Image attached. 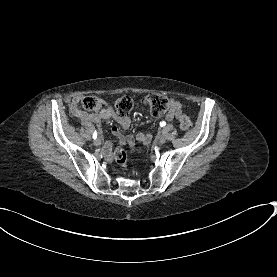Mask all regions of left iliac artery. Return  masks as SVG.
Instances as JSON below:
<instances>
[{"label":"left iliac artery","mask_w":277,"mask_h":277,"mask_svg":"<svg viewBox=\"0 0 277 277\" xmlns=\"http://www.w3.org/2000/svg\"><path fill=\"white\" fill-rule=\"evenodd\" d=\"M165 125H166V122H165V121H161V122H160V126H161V127H164Z\"/></svg>","instance_id":"left-iliac-artery-1"}]
</instances>
